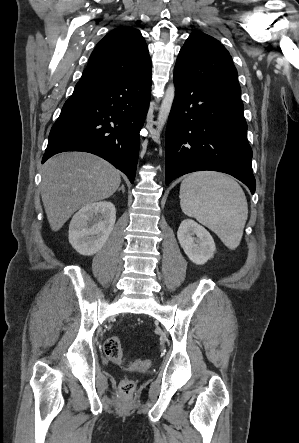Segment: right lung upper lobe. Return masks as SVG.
<instances>
[{
	"instance_id": "right-lung-upper-lobe-1",
	"label": "right lung upper lobe",
	"mask_w": 299,
	"mask_h": 443,
	"mask_svg": "<svg viewBox=\"0 0 299 443\" xmlns=\"http://www.w3.org/2000/svg\"><path fill=\"white\" fill-rule=\"evenodd\" d=\"M151 72V59L140 31L121 26L99 41L79 82L145 77Z\"/></svg>"
}]
</instances>
